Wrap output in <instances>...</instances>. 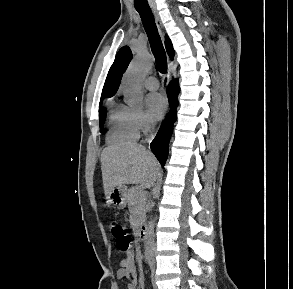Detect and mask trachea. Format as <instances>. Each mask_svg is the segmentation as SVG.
I'll return each instance as SVG.
<instances>
[{
  "instance_id": "1",
  "label": "trachea",
  "mask_w": 293,
  "mask_h": 289,
  "mask_svg": "<svg viewBox=\"0 0 293 289\" xmlns=\"http://www.w3.org/2000/svg\"><path fill=\"white\" fill-rule=\"evenodd\" d=\"M136 10L142 19L144 29L148 36L151 50L155 57L156 67L160 73H165L167 70L166 53L158 33L153 13L150 8Z\"/></svg>"
}]
</instances>
